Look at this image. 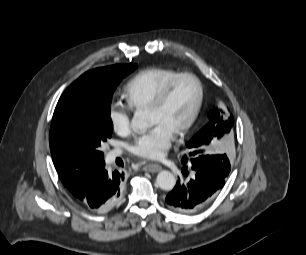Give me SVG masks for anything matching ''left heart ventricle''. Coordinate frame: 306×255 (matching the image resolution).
Here are the masks:
<instances>
[{"instance_id":"1","label":"left heart ventricle","mask_w":306,"mask_h":255,"mask_svg":"<svg viewBox=\"0 0 306 255\" xmlns=\"http://www.w3.org/2000/svg\"><path fill=\"white\" fill-rule=\"evenodd\" d=\"M198 86L188 77L180 79L172 88L163 106L149 111L152 125H162L172 134L191 116L198 99Z\"/></svg>"}]
</instances>
